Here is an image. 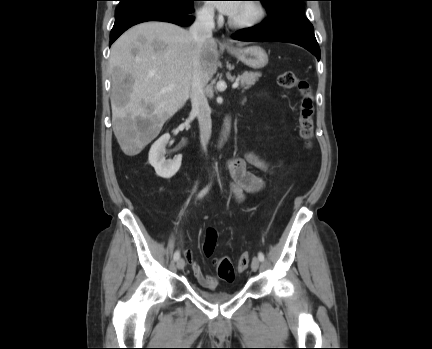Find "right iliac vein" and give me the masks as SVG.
<instances>
[{"instance_id": "right-iliac-vein-1", "label": "right iliac vein", "mask_w": 432, "mask_h": 349, "mask_svg": "<svg viewBox=\"0 0 432 349\" xmlns=\"http://www.w3.org/2000/svg\"><path fill=\"white\" fill-rule=\"evenodd\" d=\"M184 266H185V261L182 258L178 259V261H177V268L179 270H182L184 268Z\"/></svg>"}]
</instances>
